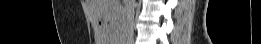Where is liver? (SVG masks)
I'll use <instances>...</instances> for the list:
<instances>
[{
    "label": "liver",
    "mask_w": 261,
    "mask_h": 44,
    "mask_svg": "<svg viewBox=\"0 0 261 44\" xmlns=\"http://www.w3.org/2000/svg\"><path fill=\"white\" fill-rule=\"evenodd\" d=\"M93 24H131L125 8H120L119 0H87ZM97 44H118L124 35L123 25H95Z\"/></svg>",
    "instance_id": "liver-1"
}]
</instances>
